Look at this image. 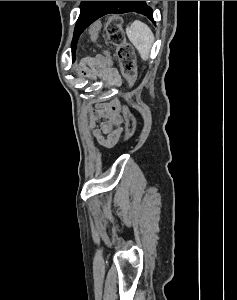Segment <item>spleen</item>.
Here are the masks:
<instances>
[{"label": "spleen", "instance_id": "obj_1", "mask_svg": "<svg viewBox=\"0 0 237 300\" xmlns=\"http://www.w3.org/2000/svg\"><path fill=\"white\" fill-rule=\"evenodd\" d=\"M126 35L135 49H137L141 59L147 61L150 49L154 43V35L151 29L145 23H141V21H134L130 27H127Z\"/></svg>", "mask_w": 237, "mask_h": 300}]
</instances>
